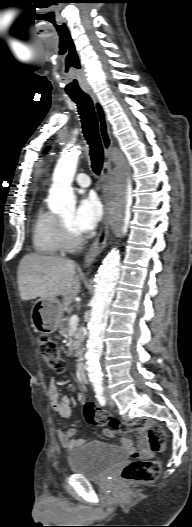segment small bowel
Here are the masks:
<instances>
[{
    "label": "small bowel",
    "mask_w": 192,
    "mask_h": 527,
    "mask_svg": "<svg viewBox=\"0 0 192 527\" xmlns=\"http://www.w3.org/2000/svg\"><path fill=\"white\" fill-rule=\"evenodd\" d=\"M48 397L51 401L52 409L62 418H69L71 416L72 408H71V402L67 396H61L60 392L58 390V387L56 385V382L53 378L50 379L49 386H48ZM129 428L126 432H129L131 430H134L131 427V424H128ZM139 431V444L141 451L137 452L133 448L132 442L127 438H122L120 440V444L122 447H124L127 451V457L129 460L134 461L137 459V457H145L151 454L152 450L149 448L146 437H145V431L144 430H138ZM103 434L106 437H113L114 433L110 429H104ZM58 438L60 441V444L63 448L67 450H72L74 448L80 447L83 444L87 442L86 438L77 436V430L75 428H69L66 431L59 430L58 431ZM142 461H145V458H142Z\"/></svg>",
    "instance_id": "c3829d8e"
}]
</instances>
